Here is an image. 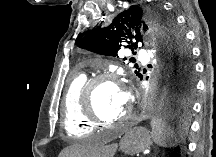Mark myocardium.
I'll list each match as a JSON object with an SVG mask.
<instances>
[{"label": "myocardium", "instance_id": "obj_1", "mask_svg": "<svg viewBox=\"0 0 216 157\" xmlns=\"http://www.w3.org/2000/svg\"><path fill=\"white\" fill-rule=\"evenodd\" d=\"M115 76L112 74H100L89 79L81 89L80 104L82 113L91 123L94 125H118L126 122L130 116V110L126 111L121 117L113 121H107L100 117L95 108V92L101 86L105 84H111L117 86Z\"/></svg>", "mask_w": 216, "mask_h": 157}]
</instances>
